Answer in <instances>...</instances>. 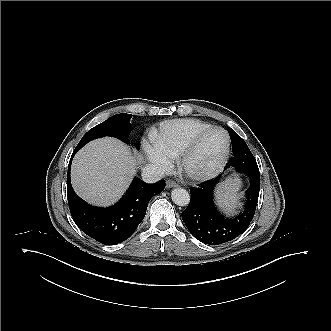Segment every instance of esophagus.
<instances>
[{"label":"esophagus","instance_id":"obj_1","mask_svg":"<svg viewBox=\"0 0 331 331\" xmlns=\"http://www.w3.org/2000/svg\"><path fill=\"white\" fill-rule=\"evenodd\" d=\"M178 184L172 180H167L166 181V188H173V187H177Z\"/></svg>","mask_w":331,"mask_h":331}]
</instances>
